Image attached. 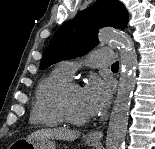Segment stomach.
<instances>
[{
	"label": "stomach",
	"instance_id": "obj_1",
	"mask_svg": "<svg viewBox=\"0 0 155 149\" xmlns=\"http://www.w3.org/2000/svg\"><path fill=\"white\" fill-rule=\"evenodd\" d=\"M91 146L94 143L86 142ZM13 149H56V143L53 139L40 137L35 139H19L12 144Z\"/></svg>",
	"mask_w": 155,
	"mask_h": 149
}]
</instances>
